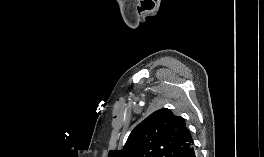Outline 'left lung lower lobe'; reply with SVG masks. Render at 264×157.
Masks as SVG:
<instances>
[{"label": "left lung lower lobe", "mask_w": 264, "mask_h": 157, "mask_svg": "<svg viewBox=\"0 0 264 157\" xmlns=\"http://www.w3.org/2000/svg\"><path fill=\"white\" fill-rule=\"evenodd\" d=\"M188 157H197L193 147H192L191 151L189 152Z\"/></svg>", "instance_id": "1"}]
</instances>
